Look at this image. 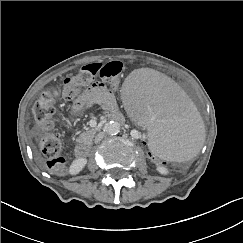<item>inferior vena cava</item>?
<instances>
[{"mask_svg":"<svg viewBox=\"0 0 243 243\" xmlns=\"http://www.w3.org/2000/svg\"><path fill=\"white\" fill-rule=\"evenodd\" d=\"M104 136H105L104 132H99L94 139V143L100 142L104 138Z\"/></svg>","mask_w":243,"mask_h":243,"instance_id":"1","label":"inferior vena cava"}]
</instances>
